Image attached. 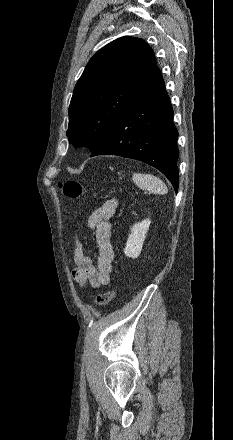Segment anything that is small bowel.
<instances>
[{
  "label": "small bowel",
  "mask_w": 233,
  "mask_h": 440,
  "mask_svg": "<svg viewBox=\"0 0 233 440\" xmlns=\"http://www.w3.org/2000/svg\"><path fill=\"white\" fill-rule=\"evenodd\" d=\"M117 207L118 200L111 197L87 218L88 226L94 231L98 247L96 265L85 254L82 243L75 239L73 248L75 266L72 270V277L80 286L90 285L93 288H98L110 281L114 261L110 219L115 214Z\"/></svg>",
  "instance_id": "1"
}]
</instances>
